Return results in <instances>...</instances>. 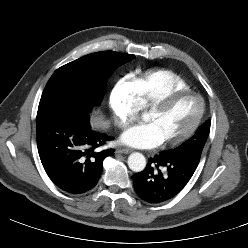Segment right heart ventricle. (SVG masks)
Returning a JSON list of instances; mask_svg holds the SVG:
<instances>
[{
	"mask_svg": "<svg viewBox=\"0 0 248 248\" xmlns=\"http://www.w3.org/2000/svg\"><path fill=\"white\" fill-rule=\"evenodd\" d=\"M141 108L148 107L153 101L176 90H191L187 82L169 70H158L143 75L130 76L126 81Z\"/></svg>",
	"mask_w": 248,
	"mask_h": 248,
	"instance_id": "1",
	"label": "right heart ventricle"
}]
</instances>
